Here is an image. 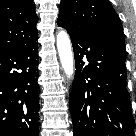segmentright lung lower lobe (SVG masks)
Instances as JSON below:
<instances>
[{
	"instance_id": "right-lung-lower-lobe-1",
	"label": "right lung lower lobe",
	"mask_w": 136,
	"mask_h": 136,
	"mask_svg": "<svg viewBox=\"0 0 136 136\" xmlns=\"http://www.w3.org/2000/svg\"><path fill=\"white\" fill-rule=\"evenodd\" d=\"M37 37L0 53V136L39 134Z\"/></svg>"
}]
</instances>
